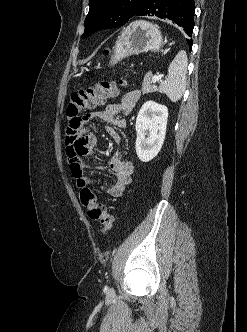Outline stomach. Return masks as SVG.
Returning a JSON list of instances; mask_svg holds the SVG:
<instances>
[{"instance_id":"1","label":"stomach","mask_w":247,"mask_h":332,"mask_svg":"<svg viewBox=\"0 0 247 332\" xmlns=\"http://www.w3.org/2000/svg\"><path fill=\"white\" fill-rule=\"evenodd\" d=\"M163 44V37L156 25L144 20L132 22L118 38L109 65H115L131 55L158 52Z\"/></svg>"}]
</instances>
